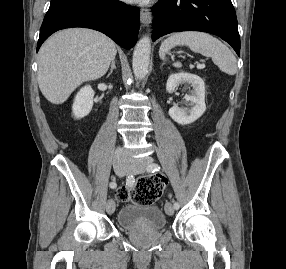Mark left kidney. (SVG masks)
<instances>
[{
    "mask_svg": "<svg viewBox=\"0 0 286 269\" xmlns=\"http://www.w3.org/2000/svg\"><path fill=\"white\" fill-rule=\"evenodd\" d=\"M191 84L193 90L190 95H185L186 108L173 105L169 109L170 117L177 123L186 125L193 123L200 118L206 110L205 105V84L197 75L191 73H176L169 76L166 84L168 93H173L180 84Z\"/></svg>",
    "mask_w": 286,
    "mask_h": 269,
    "instance_id": "left-kidney-1",
    "label": "left kidney"
}]
</instances>
